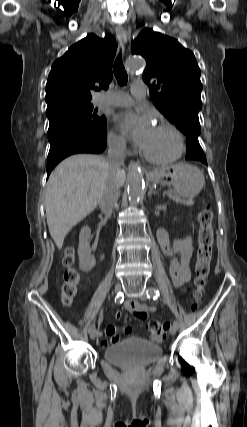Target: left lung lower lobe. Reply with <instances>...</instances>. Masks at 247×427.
Here are the masks:
<instances>
[{
    "mask_svg": "<svg viewBox=\"0 0 247 427\" xmlns=\"http://www.w3.org/2000/svg\"><path fill=\"white\" fill-rule=\"evenodd\" d=\"M187 139L188 143L186 159L200 161L207 165L205 154L199 144L198 139L191 136H187Z\"/></svg>",
    "mask_w": 247,
    "mask_h": 427,
    "instance_id": "1",
    "label": "left lung lower lobe"
}]
</instances>
